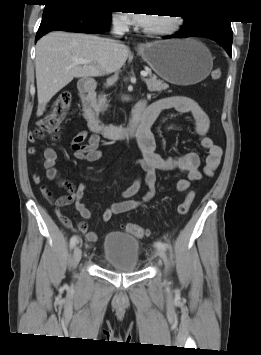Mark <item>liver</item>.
Listing matches in <instances>:
<instances>
[{
  "mask_svg": "<svg viewBox=\"0 0 261 355\" xmlns=\"http://www.w3.org/2000/svg\"><path fill=\"white\" fill-rule=\"evenodd\" d=\"M109 39L95 35L55 31L42 37L36 45L37 115L41 116L46 104L74 78L98 77L119 70L126 62V45L115 51ZM85 59L76 64L74 59Z\"/></svg>",
  "mask_w": 261,
  "mask_h": 355,
  "instance_id": "1",
  "label": "liver"
}]
</instances>
